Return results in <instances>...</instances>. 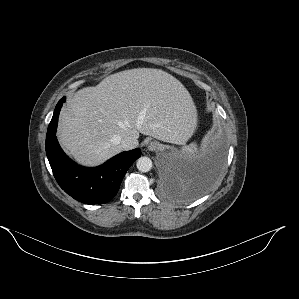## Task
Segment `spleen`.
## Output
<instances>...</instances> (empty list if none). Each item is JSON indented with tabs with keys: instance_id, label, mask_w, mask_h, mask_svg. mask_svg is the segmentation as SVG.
Here are the masks:
<instances>
[{
	"instance_id": "3e777b00",
	"label": "spleen",
	"mask_w": 299,
	"mask_h": 299,
	"mask_svg": "<svg viewBox=\"0 0 299 299\" xmlns=\"http://www.w3.org/2000/svg\"><path fill=\"white\" fill-rule=\"evenodd\" d=\"M181 152L185 155L194 156L198 152L196 144H190L181 148Z\"/></svg>"
}]
</instances>
